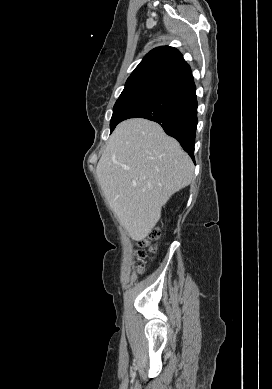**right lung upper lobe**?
Listing matches in <instances>:
<instances>
[{
	"mask_svg": "<svg viewBox=\"0 0 272 389\" xmlns=\"http://www.w3.org/2000/svg\"><path fill=\"white\" fill-rule=\"evenodd\" d=\"M189 74L191 68L177 49L169 46L157 47L142 59L126 84L152 82L165 86Z\"/></svg>",
	"mask_w": 272,
	"mask_h": 389,
	"instance_id": "cb5924a9",
	"label": "right lung upper lobe"
}]
</instances>
